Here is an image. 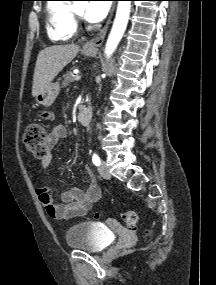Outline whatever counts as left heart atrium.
Segmentation results:
<instances>
[{"label":"left heart atrium","instance_id":"obj_1","mask_svg":"<svg viewBox=\"0 0 216 285\" xmlns=\"http://www.w3.org/2000/svg\"><path fill=\"white\" fill-rule=\"evenodd\" d=\"M109 8V1H91L85 7L84 16L90 22H99L105 18Z\"/></svg>","mask_w":216,"mask_h":285}]
</instances>
